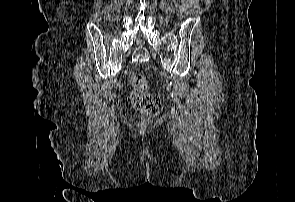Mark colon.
<instances>
[{
  "mask_svg": "<svg viewBox=\"0 0 295 202\" xmlns=\"http://www.w3.org/2000/svg\"><path fill=\"white\" fill-rule=\"evenodd\" d=\"M130 83L133 87L131 100L134 107L150 115L159 113L162 108L161 99L158 95L148 92L146 77L139 72H133L130 75Z\"/></svg>",
  "mask_w": 295,
  "mask_h": 202,
  "instance_id": "colon-1",
  "label": "colon"
}]
</instances>
